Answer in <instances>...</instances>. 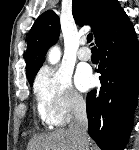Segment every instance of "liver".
<instances>
[{
    "mask_svg": "<svg viewBox=\"0 0 139 150\" xmlns=\"http://www.w3.org/2000/svg\"><path fill=\"white\" fill-rule=\"evenodd\" d=\"M27 150H77V144L69 129H58L34 136Z\"/></svg>",
    "mask_w": 139,
    "mask_h": 150,
    "instance_id": "liver-1",
    "label": "liver"
}]
</instances>
